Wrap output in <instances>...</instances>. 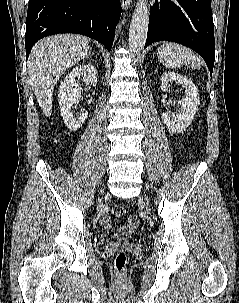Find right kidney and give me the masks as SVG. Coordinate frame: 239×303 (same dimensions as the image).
<instances>
[{
	"label": "right kidney",
	"mask_w": 239,
	"mask_h": 303,
	"mask_svg": "<svg viewBox=\"0 0 239 303\" xmlns=\"http://www.w3.org/2000/svg\"><path fill=\"white\" fill-rule=\"evenodd\" d=\"M83 76L86 83L96 86L97 76L96 69L93 65H80L72 69V71L63 79L59 88L58 102L66 126L76 131L80 129L82 124L88 117V112H82L78 116H74L71 108L79 97V88L76 83V77Z\"/></svg>",
	"instance_id": "1"
}]
</instances>
